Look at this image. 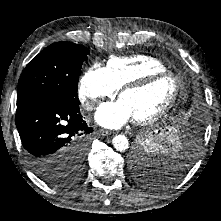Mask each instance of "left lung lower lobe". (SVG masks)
I'll return each instance as SVG.
<instances>
[{
    "instance_id": "obj_1",
    "label": "left lung lower lobe",
    "mask_w": 221,
    "mask_h": 221,
    "mask_svg": "<svg viewBox=\"0 0 221 221\" xmlns=\"http://www.w3.org/2000/svg\"><path fill=\"white\" fill-rule=\"evenodd\" d=\"M169 140L170 143L166 146L168 157L172 160L171 156L182 155L184 158L179 160L181 166L176 171H171L173 175L166 178V181L175 180L187 171L191 161L193 160L194 153L196 152L198 142L203 132V123L199 117L191 118L187 123L175 124L171 127ZM134 156L132 155L131 161L133 163ZM161 158V155H160Z\"/></svg>"
}]
</instances>
